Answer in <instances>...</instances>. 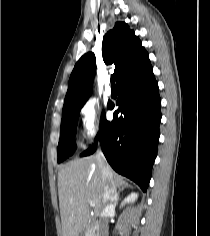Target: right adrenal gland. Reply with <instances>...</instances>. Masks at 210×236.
Here are the masks:
<instances>
[{
    "instance_id": "right-adrenal-gland-1",
    "label": "right adrenal gland",
    "mask_w": 210,
    "mask_h": 236,
    "mask_svg": "<svg viewBox=\"0 0 210 236\" xmlns=\"http://www.w3.org/2000/svg\"><path fill=\"white\" fill-rule=\"evenodd\" d=\"M125 188H130V185H129L128 183H124V184L122 185V187L120 188V190H119V192H118V194H117V201H116V204H118L120 192L123 191Z\"/></svg>"
}]
</instances>
